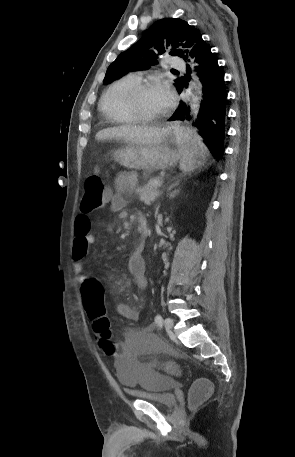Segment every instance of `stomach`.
I'll use <instances>...</instances> for the list:
<instances>
[{
    "label": "stomach",
    "mask_w": 295,
    "mask_h": 457,
    "mask_svg": "<svg viewBox=\"0 0 295 457\" xmlns=\"http://www.w3.org/2000/svg\"><path fill=\"white\" fill-rule=\"evenodd\" d=\"M160 141L152 145H126L113 151V160L129 168L143 169L145 171L163 170L173 166L180 158L179 153L171 149L176 144L174 127H165Z\"/></svg>",
    "instance_id": "stomach-1"
}]
</instances>
